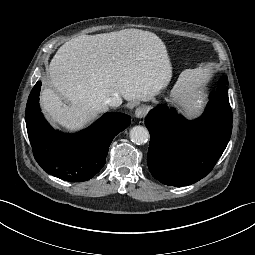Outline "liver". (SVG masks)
I'll return each mask as SVG.
<instances>
[{"label":"liver","instance_id":"obj_1","mask_svg":"<svg viewBox=\"0 0 255 255\" xmlns=\"http://www.w3.org/2000/svg\"><path fill=\"white\" fill-rule=\"evenodd\" d=\"M49 74L52 88L40 96L43 111L53 123L78 130L108 111L105 102L114 95L130 103L152 100L170 82L172 66L156 34L124 29L69 40Z\"/></svg>","mask_w":255,"mask_h":255}]
</instances>
